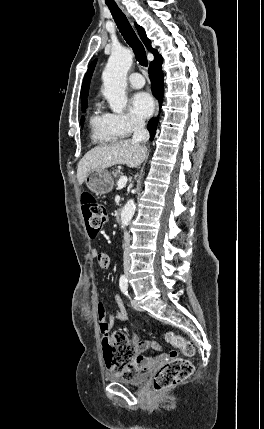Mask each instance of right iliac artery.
I'll use <instances>...</instances> for the list:
<instances>
[{"label": "right iliac artery", "instance_id": "obj_1", "mask_svg": "<svg viewBox=\"0 0 264 429\" xmlns=\"http://www.w3.org/2000/svg\"><path fill=\"white\" fill-rule=\"evenodd\" d=\"M119 286L121 291L127 295V289H128V280L125 275H121L119 280Z\"/></svg>", "mask_w": 264, "mask_h": 429}]
</instances>
